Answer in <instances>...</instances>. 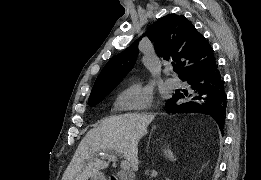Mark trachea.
Here are the masks:
<instances>
[{
  "label": "trachea",
  "mask_w": 261,
  "mask_h": 180,
  "mask_svg": "<svg viewBox=\"0 0 261 180\" xmlns=\"http://www.w3.org/2000/svg\"><path fill=\"white\" fill-rule=\"evenodd\" d=\"M174 72H177L179 70V67H173Z\"/></svg>",
  "instance_id": "1"
}]
</instances>
